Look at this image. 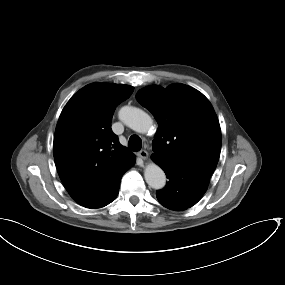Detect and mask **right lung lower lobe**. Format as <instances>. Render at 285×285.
I'll use <instances>...</instances> for the list:
<instances>
[{
  "label": "right lung lower lobe",
  "instance_id": "98d812e1",
  "mask_svg": "<svg viewBox=\"0 0 285 285\" xmlns=\"http://www.w3.org/2000/svg\"><path fill=\"white\" fill-rule=\"evenodd\" d=\"M135 162V160H134ZM133 162V164H134ZM132 164V165H133ZM119 184H120V181L119 183L112 189V191L108 194V196L103 200L101 201L99 204H97L96 206L94 207H91V208H101V207H104L106 205H108L109 203H111L117 196L118 194V190H119Z\"/></svg>",
  "mask_w": 285,
  "mask_h": 285
}]
</instances>
